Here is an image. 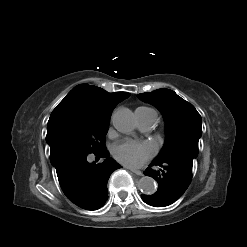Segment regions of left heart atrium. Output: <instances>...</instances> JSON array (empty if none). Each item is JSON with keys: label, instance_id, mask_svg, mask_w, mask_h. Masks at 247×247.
<instances>
[{"label": "left heart atrium", "instance_id": "39dd6f15", "mask_svg": "<svg viewBox=\"0 0 247 247\" xmlns=\"http://www.w3.org/2000/svg\"><path fill=\"white\" fill-rule=\"evenodd\" d=\"M154 154V148L146 142L123 140L113 148L114 157L130 167H139Z\"/></svg>", "mask_w": 247, "mask_h": 247}]
</instances>
